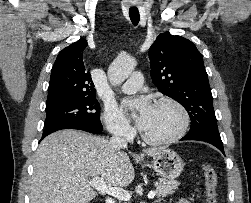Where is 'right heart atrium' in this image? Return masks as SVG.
Returning <instances> with one entry per match:
<instances>
[{
    "instance_id": "obj_1",
    "label": "right heart atrium",
    "mask_w": 251,
    "mask_h": 203,
    "mask_svg": "<svg viewBox=\"0 0 251 203\" xmlns=\"http://www.w3.org/2000/svg\"><path fill=\"white\" fill-rule=\"evenodd\" d=\"M102 119L111 135L125 139L133 135L134 130L130 123L116 107L107 106L104 109Z\"/></svg>"
}]
</instances>
